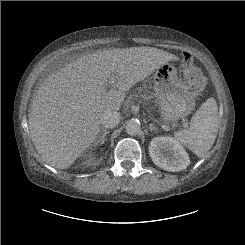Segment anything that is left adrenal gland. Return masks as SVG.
Wrapping results in <instances>:
<instances>
[{"mask_svg": "<svg viewBox=\"0 0 245 245\" xmlns=\"http://www.w3.org/2000/svg\"><path fill=\"white\" fill-rule=\"evenodd\" d=\"M149 130H150V131H153V130L156 131L157 128H156L153 124H150V125H149Z\"/></svg>", "mask_w": 245, "mask_h": 245, "instance_id": "a2214340", "label": "left adrenal gland"}]
</instances>
